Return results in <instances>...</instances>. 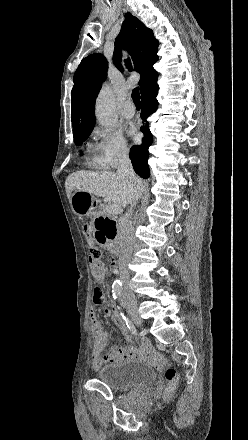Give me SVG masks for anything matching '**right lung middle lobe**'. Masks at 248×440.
Segmentation results:
<instances>
[{"label": "right lung middle lobe", "mask_w": 248, "mask_h": 440, "mask_svg": "<svg viewBox=\"0 0 248 440\" xmlns=\"http://www.w3.org/2000/svg\"><path fill=\"white\" fill-rule=\"evenodd\" d=\"M92 130L83 131L74 135V143L76 145H81L91 134Z\"/></svg>", "instance_id": "1"}]
</instances>
